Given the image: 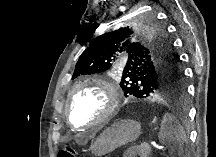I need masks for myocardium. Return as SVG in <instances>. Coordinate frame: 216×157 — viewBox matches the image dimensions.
I'll use <instances>...</instances> for the list:
<instances>
[{"mask_svg":"<svg viewBox=\"0 0 216 157\" xmlns=\"http://www.w3.org/2000/svg\"><path fill=\"white\" fill-rule=\"evenodd\" d=\"M85 87H94L102 91L106 98V107L100 113V115L94 119L92 122L78 125L73 121L70 108L73 101V97L76 91ZM121 104V92L115 85L110 82L100 78H87L76 83L68 92L67 102H66V112L69 119V123L72 127L76 129H88L97 125H100L108 121L118 110Z\"/></svg>","mask_w":216,"mask_h":157,"instance_id":"f54148a6","label":"myocardium"}]
</instances>
